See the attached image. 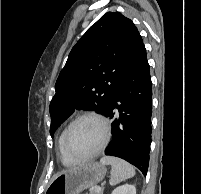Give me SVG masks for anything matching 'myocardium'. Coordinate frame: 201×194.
Listing matches in <instances>:
<instances>
[{"instance_id": "f54148a6", "label": "myocardium", "mask_w": 201, "mask_h": 194, "mask_svg": "<svg viewBox=\"0 0 201 194\" xmlns=\"http://www.w3.org/2000/svg\"><path fill=\"white\" fill-rule=\"evenodd\" d=\"M83 119H93V120L98 121L102 125L103 131H104V138H103L100 146L95 151L91 152L90 154L84 155V156H76V155L72 154L68 149V137H69L70 131L73 128V126L77 122H79ZM110 136H111V132H110L109 123L105 117H103L100 114L93 113V112L83 113V114L78 115L76 118H74L68 124V126L65 128L64 134H63V139H62V149H63L64 154L72 161H75V162L87 161L89 159L96 157L104 150V148L106 147V145L108 144V142L110 140Z\"/></svg>"}]
</instances>
